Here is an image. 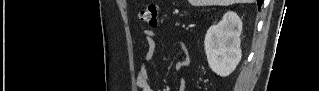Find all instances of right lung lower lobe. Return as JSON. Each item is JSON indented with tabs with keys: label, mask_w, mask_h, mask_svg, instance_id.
Masks as SVG:
<instances>
[{
	"label": "right lung lower lobe",
	"mask_w": 319,
	"mask_h": 91,
	"mask_svg": "<svg viewBox=\"0 0 319 91\" xmlns=\"http://www.w3.org/2000/svg\"><path fill=\"white\" fill-rule=\"evenodd\" d=\"M263 0H257L258 3V8H260V6L262 5Z\"/></svg>",
	"instance_id": "98d812e1"
}]
</instances>
